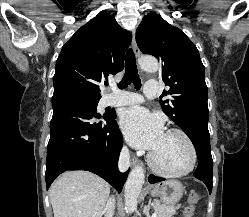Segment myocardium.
<instances>
[{
  "label": "myocardium",
  "mask_w": 249,
  "mask_h": 217,
  "mask_svg": "<svg viewBox=\"0 0 249 217\" xmlns=\"http://www.w3.org/2000/svg\"><path fill=\"white\" fill-rule=\"evenodd\" d=\"M165 134H176V135H179L184 140V142L186 143V145L189 149V152H190L189 163L182 170H178V171L165 170V169L161 168L155 162V159L153 157V153L150 152L148 154L149 166L157 174L164 176V177H168V178L182 177V176L189 174L190 172L193 171V169L195 168V165L197 163V150H196V147H195L193 141L191 140V138L189 137V135L185 131L178 129V128H170L166 131Z\"/></svg>",
  "instance_id": "f54148a6"
}]
</instances>
